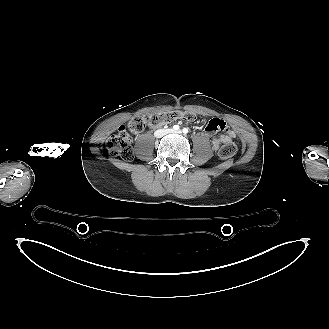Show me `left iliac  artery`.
<instances>
[{"label": "left iliac artery", "mask_w": 329, "mask_h": 329, "mask_svg": "<svg viewBox=\"0 0 329 329\" xmlns=\"http://www.w3.org/2000/svg\"><path fill=\"white\" fill-rule=\"evenodd\" d=\"M182 131H183L184 134H187L188 133V128H183Z\"/></svg>", "instance_id": "left-iliac-artery-1"}]
</instances>
